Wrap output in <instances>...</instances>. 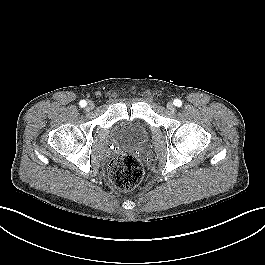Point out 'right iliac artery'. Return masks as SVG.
<instances>
[{
	"label": "right iliac artery",
	"instance_id": "1",
	"mask_svg": "<svg viewBox=\"0 0 265 265\" xmlns=\"http://www.w3.org/2000/svg\"><path fill=\"white\" fill-rule=\"evenodd\" d=\"M79 105H80L81 107H85V106L87 105V103H86L85 100H81V101L79 102Z\"/></svg>",
	"mask_w": 265,
	"mask_h": 265
}]
</instances>
